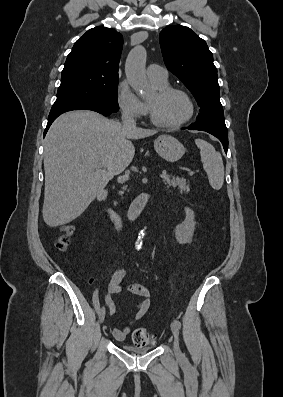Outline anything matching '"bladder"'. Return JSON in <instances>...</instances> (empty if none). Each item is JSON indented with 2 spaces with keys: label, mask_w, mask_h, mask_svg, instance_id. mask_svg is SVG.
I'll use <instances>...</instances> for the list:
<instances>
[{
  "label": "bladder",
  "mask_w": 283,
  "mask_h": 397,
  "mask_svg": "<svg viewBox=\"0 0 283 397\" xmlns=\"http://www.w3.org/2000/svg\"><path fill=\"white\" fill-rule=\"evenodd\" d=\"M155 347L154 344H150L148 346H144V347H136V346H131V345H123L122 349L126 352L132 353V354H137V355H141V354H145L150 352L151 350H153Z\"/></svg>",
  "instance_id": "bladder-1"
}]
</instances>
